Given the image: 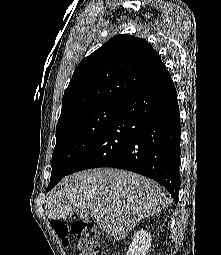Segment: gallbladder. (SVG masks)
<instances>
[{
	"instance_id": "bac80fb5",
	"label": "gallbladder",
	"mask_w": 221,
	"mask_h": 255,
	"mask_svg": "<svg viewBox=\"0 0 221 255\" xmlns=\"http://www.w3.org/2000/svg\"><path fill=\"white\" fill-rule=\"evenodd\" d=\"M79 217L82 220H89L92 217V213L88 210L80 211L79 212Z\"/></svg>"
}]
</instances>
